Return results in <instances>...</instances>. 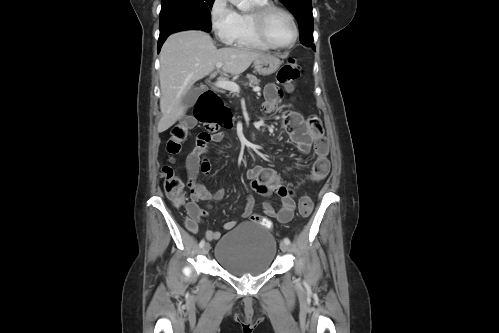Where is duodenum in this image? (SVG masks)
Returning a JSON list of instances; mask_svg holds the SVG:
<instances>
[{
	"mask_svg": "<svg viewBox=\"0 0 499 333\" xmlns=\"http://www.w3.org/2000/svg\"><path fill=\"white\" fill-rule=\"evenodd\" d=\"M210 92H213L211 90L205 92L202 94L196 104V116L200 120H205V119H212L218 115V108L214 107L213 104H211L208 101V94Z\"/></svg>",
	"mask_w": 499,
	"mask_h": 333,
	"instance_id": "obj_1",
	"label": "duodenum"
}]
</instances>
